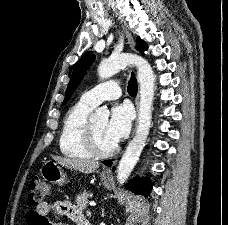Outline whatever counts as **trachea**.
Listing matches in <instances>:
<instances>
[{
    "label": "trachea",
    "instance_id": "3493384b",
    "mask_svg": "<svg viewBox=\"0 0 228 225\" xmlns=\"http://www.w3.org/2000/svg\"><path fill=\"white\" fill-rule=\"evenodd\" d=\"M127 90H128L129 95L137 94V80H136V77L133 72L131 73V78L128 82Z\"/></svg>",
    "mask_w": 228,
    "mask_h": 225
}]
</instances>
